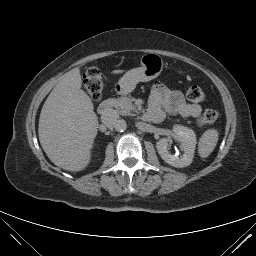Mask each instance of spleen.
<instances>
[{
	"mask_svg": "<svg viewBox=\"0 0 256 256\" xmlns=\"http://www.w3.org/2000/svg\"><path fill=\"white\" fill-rule=\"evenodd\" d=\"M218 137L219 133L216 129H208L202 134L198 143L200 157L206 158L213 152L217 145Z\"/></svg>",
	"mask_w": 256,
	"mask_h": 256,
	"instance_id": "obj_1",
	"label": "spleen"
}]
</instances>
